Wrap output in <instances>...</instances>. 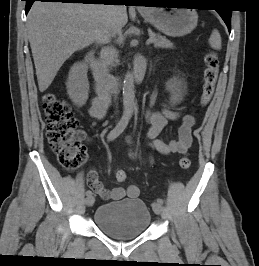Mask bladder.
Listing matches in <instances>:
<instances>
[{
    "mask_svg": "<svg viewBox=\"0 0 259 266\" xmlns=\"http://www.w3.org/2000/svg\"><path fill=\"white\" fill-rule=\"evenodd\" d=\"M93 221L108 236L129 240L148 229L151 214L141 199H124L97 207Z\"/></svg>",
    "mask_w": 259,
    "mask_h": 266,
    "instance_id": "bladder-1",
    "label": "bladder"
}]
</instances>
